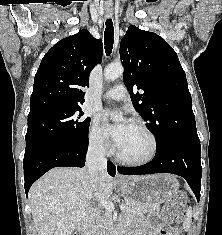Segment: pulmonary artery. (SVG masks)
<instances>
[{
	"label": "pulmonary artery",
	"instance_id": "e3ab8cb5",
	"mask_svg": "<svg viewBox=\"0 0 222 235\" xmlns=\"http://www.w3.org/2000/svg\"><path fill=\"white\" fill-rule=\"evenodd\" d=\"M127 95V90L124 85H116L108 90L104 97L109 100L122 101Z\"/></svg>",
	"mask_w": 222,
	"mask_h": 235
}]
</instances>
